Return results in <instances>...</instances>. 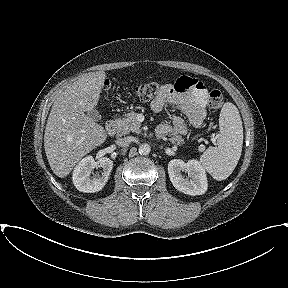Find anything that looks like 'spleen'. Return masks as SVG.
Here are the masks:
<instances>
[{
	"mask_svg": "<svg viewBox=\"0 0 288 288\" xmlns=\"http://www.w3.org/2000/svg\"><path fill=\"white\" fill-rule=\"evenodd\" d=\"M220 134L217 146L209 147L200 163L211 176L222 181L234 171L242 152L243 126L237 107L231 102L223 105L219 117Z\"/></svg>",
	"mask_w": 288,
	"mask_h": 288,
	"instance_id": "obj_1",
	"label": "spleen"
}]
</instances>
